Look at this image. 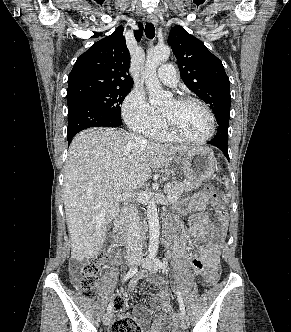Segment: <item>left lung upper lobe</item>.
<instances>
[{"mask_svg": "<svg viewBox=\"0 0 291 332\" xmlns=\"http://www.w3.org/2000/svg\"><path fill=\"white\" fill-rule=\"evenodd\" d=\"M168 42L185 85L210 106L216 119L230 117V82L222 62L179 25L171 29Z\"/></svg>", "mask_w": 291, "mask_h": 332, "instance_id": "1", "label": "left lung upper lobe"}]
</instances>
